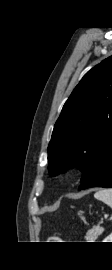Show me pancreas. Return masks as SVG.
Here are the masks:
<instances>
[{
    "instance_id": "1",
    "label": "pancreas",
    "mask_w": 112,
    "mask_h": 270,
    "mask_svg": "<svg viewBox=\"0 0 112 270\" xmlns=\"http://www.w3.org/2000/svg\"><path fill=\"white\" fill-rule=\"evenodd\" d=\"M103 231H104L103 227L96 226L87 232L85 239L88 242H94L98 238V236H100L103 233Z\"/></svg>"
}]
</instances>
